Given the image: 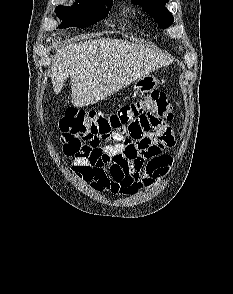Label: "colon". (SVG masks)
Masks as SVG:
<instances>
[{"instance_id":"colon-1","label":"colon","mask_w":233,"mask_h":294,"mask_svg":"<svg viewBox=\"0 0 233 294\" xmlns=\"http://www.w3.org/2000/svg\"><path fill=\"white\" fill-rule=\"evenodd\" d=\"M135 110H159L160 117L172 119V106L168 96L159 91L144 99L121 106L117 112L106 114L98 111H84L75 107L67 108L60 119V142L67 157L102 156L101 143L114 140L125 134L124 120H135ZM130 140V137L127 138ZM119 156V155H118Z\"/></svg>"}]
</instances>
